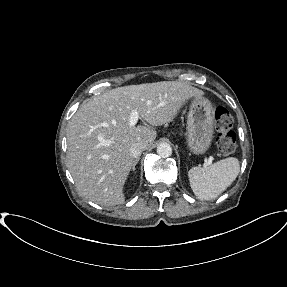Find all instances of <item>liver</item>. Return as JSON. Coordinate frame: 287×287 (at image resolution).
Segmentation results:
<instances>
[{
    "label": "liver",
    "instance_id": "obj_1",
    "mask_svg": "<svg viewBox=\"0 0 287 287\" xmlns=\"http://www.w3.org/2000/svg\"><path fill=\"white\" fill-rule=\"evenodd\" d=\"M203 92L187 82L161 81L118 87L82 104L67 125V166L78 192L101 206L123 204L133 163L130 147L154 143L155 130L130 126L136 111L152 126L169 123L183 104Z\"/></svg>",
    "mask_w": 287,
    "mask_h": 287
}]
</instances>
